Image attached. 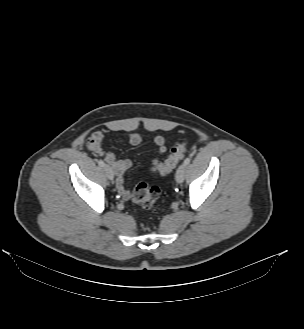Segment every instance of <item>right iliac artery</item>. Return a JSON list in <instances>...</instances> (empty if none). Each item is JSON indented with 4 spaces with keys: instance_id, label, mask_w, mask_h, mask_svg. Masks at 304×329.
I'll list each match as a JSON object with an SVG mask.
<instances>
[{
    "instance_id": "82829eb1",
    "label": "right iliac artery",
    "mask_w": 304,
    "mask_h": 329,
    "mask_svg": "<svg viewBox=\"0 0 304 329\" xmlns=\"http://www.w3.org/2000/svg\"><path fill=\"white\" fill-rule=\"evenodd\" d=\"M98 164H99L101 167H104V166H105V163H104L102 160H99V161H98Z\"/></svg>"
}]
</instances>
